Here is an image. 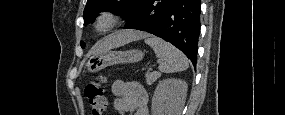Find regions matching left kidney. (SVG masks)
<instances>
[{
    "mask_svg": "<svg viewBox=\"0 0 285 115\" xmlns=\"http://www.w3.org/2000/svg\"><path fill=\"white\" fill-rule=\"evenodd\" d=\"M187 88V83L180 79L160 81L152 98V115H180L185 104Z\"/></svg>",
    "mask_w": 285,
    "mask_h": 115,
    "instance_id": "5707ae66",
    "label": "left kidney"
}]
</instances>
